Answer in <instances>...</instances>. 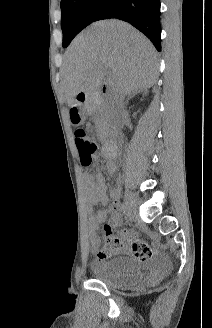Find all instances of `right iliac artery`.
Segmentation results:
<instances>
[{"mask_svg":"<svg viewBox=\"0 0 212 328\" xmlns=\"http://www.w3.org/2000/svg\"><path fill=\"white\" fill-rule=\"evenodd\" d=\"M121 208H122L123 213L126 214L127 208H126V205L124 203L122 204Z\"/></svg>","mask_w":212,"mask_h":328,"instance_id":"obj_1","label":"right iliac artery"}]
</instances>
